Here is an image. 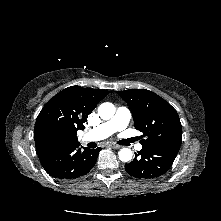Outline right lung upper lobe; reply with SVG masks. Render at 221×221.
<instances>
[{"mask_svg":"<svg viewBox=\"0 0 221 221\" xmlns=\"http://www.w3.org/2000/svg\"><path fill=\"white\" fill-rule=\"evenodd\" d=\"M109 94L107 90L68 87L51 98L39 113L34 140L36 150L52 146L48 142L50 135H57L67 144L78 143L77 131L83 130L86 118L96 105Z\"/></svg>","mask_w":221,"mask_h":221,"instance_id":"right-lung-upper-lobe-1","label":"right lung upper lobe"}]
</instances>
